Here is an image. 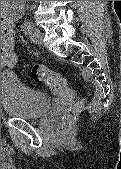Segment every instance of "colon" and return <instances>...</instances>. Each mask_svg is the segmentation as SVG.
Listing matches in <instances>:
<instances>
[{
	"instance_id": "obj_1",
	"label": "colon",
	"mask_w": 121,
	"mask_h": 169,
	"mask_svg": "<svg viewBox=\"0 0 121 169\" xmlns=\"http://www.w3.org/2000/svg\"><path fill=\"white\" fill-rule=\"evenodd\" d=\"M6 36L9 37V33ZM13 49H15V44L9 42L1 44V57L8 66L16 63L17 58ZM31 74L35 81L44 83L49 91L67 106V118L81 110L82 102L75 99L73 89L59 72L50 70L45 66L35 65L32 68ZM66 131L67 125L63 124L59 127L58 134L63 136Z\"/></svg>"
}]
</instances>
